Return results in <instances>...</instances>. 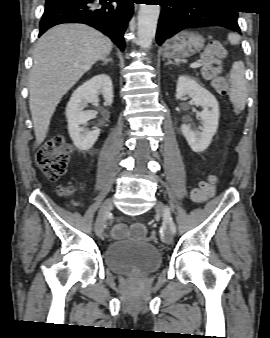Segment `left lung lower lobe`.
Instances as JSON below:
<instances>
[{
  "instance_id": "0a47b994",
  "label": "left lung lower lobe",
  "mask_w": 270,
  "mask_h": 338,
  "mask_svg": "<svg viewBox=\"0 0 270 338\" xmlns=\"http://www.w3.org/2000/svg\"><path fill=\"white\" fill-rule=\"evenodd\" d=\"M162 6L157 43L191 27L221 26L240 33L237 10L225 8V0H160Z\"/></svg>"
}]
</instances>
